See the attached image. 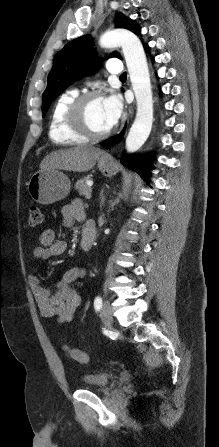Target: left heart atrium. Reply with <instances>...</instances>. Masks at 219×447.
<instances>
[{
  "label": "left heart atrium",
  "mask_w": 219,
  "mask_h": 447,
  "mask_svg": "<svg viewBox=\"0 0 219 447\" xmlns=\"http://www.w3.org/2000/svg\"><path fill=\"white\" fill-rule=\"evenodd\" d=\"M103 106L107 121L110 127H113L120 119L123 113V103L120 96L111 94L103 98Z\"/></svg>",
  "instance_id": "obj_1"
}]
</instances>
